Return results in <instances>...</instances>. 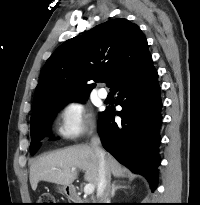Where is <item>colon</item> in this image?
<instances>
[{
	"instance_id": "obj_1",
	"label": "colon",
	"mask_w": 200,
	"mask_h": 205,
	"mask_svg": "<svg viewBox=\"0 0 200 205\" xmlns=\"http://www.w3.org/2000/svg\"><path fill=\"white\" fill-rule=\"evenodd\" d=\"M54 198L51 194H42L38 199V205H54Z\"/></svg>"
}]
</instances>
